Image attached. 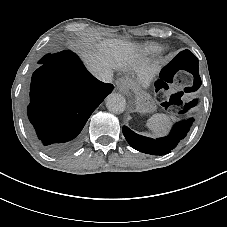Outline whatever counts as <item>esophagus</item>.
<instances>
[{"label": "esophagus", "mask_w": 227, "mask_h": 227, "mask_svg": "<svg viewBox=\"0 0 227 227\" xmlns=\"http://www.w3.org/2000/svg\"><path fill=\"white\" fill-rule=\"evenodd\" d=\"M117 90L122 94H127L129 92L128 87L124 84L121 78L116 80Z\"/></svg>", "instance_id": "34e87169"}]
</instances>
